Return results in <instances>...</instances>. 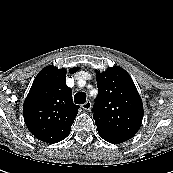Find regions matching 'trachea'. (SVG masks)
Here are the masks:
<instances>
[{
  "mask_svg": "<svg viewBox=\"0 0 173 173\" xmlns=\"http://www.w3.org/2000/svg\"><path fill=\"white\" fill-rule=\"evenodd\" d=\"M86 94L84 92H78L74 96V102L76 104H84L86 101Z\"/></svg>",
  "mask_w": 173,
  "mask_h": 173,
  "instance_id": "trachea-1",
  "label": "trachea"
}]
</instances>
